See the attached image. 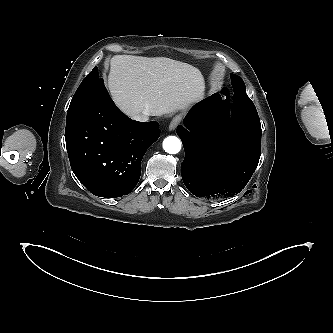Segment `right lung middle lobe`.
<instances>
[{
	"mask_svg": "<svg viewBox=\"0 0 333 333\" xmlns=\"http://www.w3.org/2000/svg\"><path fill=\"white\" fill-rule=\"evenodd\" d=\"M102 84L103 79L99 78L98 68L94 67V69L84 78L74 94L67 112V118L84 109L86 102L89 100L93 92Z\"/></svg>",
	"mask_w": 333,
	"mask_h": 333,
	"instance_id": "dd1d6c3e",
	"label": "right lung middle lobe"
}]
</instances>
